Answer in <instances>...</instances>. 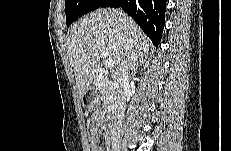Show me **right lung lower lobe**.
I'll return each mask as SVG.
<instances>
[{
	"label": "right lung lower lobe",
	"mask_w": 231,
	"mask_h": 151,
	"mask_svg": "<svg viewBox=\"0 0 231 151\" xmlns=\"http://www.w3.org/2000/svg\"><path fill=\"white\" fill-rule=\"evenodd\" d=\"M102 7H122L153 44L159 45L165 24L166 0H106Z\"/></svg>",
	"instance_id": "right-lung-lower-lobe-1"
}]
</instances>
